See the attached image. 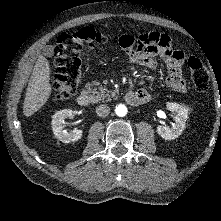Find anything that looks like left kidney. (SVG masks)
Instances as JSON below:
<instances>
[{
  "label": "left kidney",
  "instance_id": "5707ae66",
  "mask_svg": "<svg viewBox=\"0 0 221 221\" xmlns=\"http://www.w3.org/2000/svg\"><path fill=\"white\" fill-rule=\"evenodd\" d=\"M167 109L177 113L175 116V124L171 128L160 125L157 127V133L165 140H173L180 136L185 129L189 109L185 105L173 102L167 103Z\"/></svg>",
  "mask_w": 221,
  "mask_h": 221
}]
</instances>
